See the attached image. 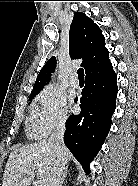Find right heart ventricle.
Returning <instances> with one entry per match:
<instances>
[{
  "label": "right heart ventricle",
  "instance_id": "1",
  "mask_svg": "<svg viewBox=\"0 0 138 186\" xmlns=\"http://www.w3.org/2000/svg\"><path fill=\"white\" fill-rule=\"evenodd\" d=\"M27 133L29 136L34 138H43L46 135L39 124L36 105L32 106L30 115L27 120Z\"/></svg>",
  "mask_w": 138,
  "mask_h": 186
}]
</instances>
